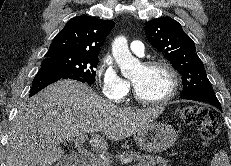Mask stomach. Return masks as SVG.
I'll use <instances>...</instances> for the list:
<instances>
[{"label":"stomach","instance_id":"obj_1","mask_svg":"<svg viewBox=\"0 0 231 166\" xmlns=\"http://www.w3.org/2000/svg\"><path fill=\"white\" fill-rule=\"evenodd\" d=\"M177 140L175 129L166 122H154L135 135L137 146L149 153H159L170 148Z\"/></svg>","mask_w":231,"mask_h":166}]
</instances>
